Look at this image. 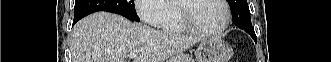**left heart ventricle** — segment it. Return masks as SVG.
Listing matches in <instances>:
<instances>
[{
    "mask_svg": "<svg viewBox=\"0 0 331 62\" xmlns=\"http://www.w3.org/2000/svg\"><path fill=\"white\" fill-rule=\"evenodd\" d=\"M187 13L198 27L209 31L218 29L224 19V8L218 0L190 1Z\"/></svg>",
    "mask_w": 331,
    "mask_h": 62,
    "instance_id": "b2bd125f",
    "label": "left heart ventricle"
}]
</instances>
